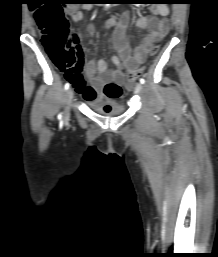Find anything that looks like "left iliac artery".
<instances>
[{"label": "left iliac artery", "mask_w": 218, "mask_h": 257, "mask_svg": "<svg viewBox=\"0 0 218 257\" xmlns=\"http://www.w3.org/2000/svg\"><path fill=\"white\" fill-rule=\"evenodd\" d=\"M140 83L141 84H144L145 83V80L143 78L140 79Z\"/></svg>", "instance_id": "obj_1"}]
</instances>
